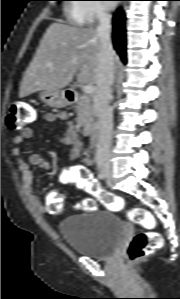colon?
Instances as JSON below:
<instances>
[{"label":"colon","mask_w":180,"mask_h":299,"mask_svg":"<svg viewBox=\"0 0 180 299\" xmlns=\"http://www.w3.org/2000/svg\"><path fill=\"white\" fill-rule=\"evenodd\" d=\"M37 111L29 103L16 101L9 106L7 115V125L10 129H20L27 127L35 121ZM80 188L93 198L84 199L79 207L84 211L97 209L98 203L114 211H119L124 206V201L111 192L104 190L99 183L87 172L79 175L76 179ZM45 207L50 214H59L64 207L62 197L51 192L46 197ZM128 218L131 222L139 224L147 230L155 226L153 215L145 209L133 208L128 212ZM162 247V238L160 235L151 232H141L135 234L126 251V258L130 264L136 263L156 250Z\"/></svg>","instance_id":"1"}]
</instances>
